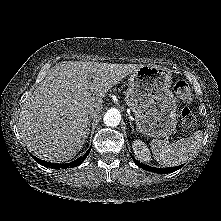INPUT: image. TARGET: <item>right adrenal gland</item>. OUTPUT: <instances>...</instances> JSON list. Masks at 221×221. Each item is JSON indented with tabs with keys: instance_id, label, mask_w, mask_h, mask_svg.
<instances>
[{
	"instance_id": "1",
	"label": "right adrenal gland",
	"mask_w": 221,
	"mask_h": 221,
	"mask_svg": "<svg viewBox=\"0 0 221 221\" xmlns=\"http://www.w3.org/2000/svg\"><path fill=\"white\" fill-rule=\"evenodd\" d=\"M91 117L89 118V121H88V127L86 129V138L88 137L89 133H90V122H91Z\"/></svg>"
}]
</instances>
